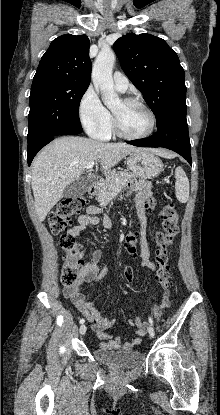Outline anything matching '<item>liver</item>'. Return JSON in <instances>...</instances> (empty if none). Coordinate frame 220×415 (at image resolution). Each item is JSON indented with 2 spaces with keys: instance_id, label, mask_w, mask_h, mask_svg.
<instances>
[{
  "instance_id": "obj_1",
  "label": "liver",
  "mask_w": 220,
  "mask_h": 415,
  "mask_svg": "<svg viewBox=\"0 0 220 415\" xmlns=\"http://www.w3.org/2000/svg\"><path fill=\"white\" fill-rule=\"evenodd\" d=\"M141 150L126 143H104L84 137L55 139L32 162L31 186L39 220L44 221L62 198L65 188L80 179L89 162L98 160L106 175L126 155ZM155 152L163 157L171 155L164 150Z\"/></svg>"
}]
</instances>
